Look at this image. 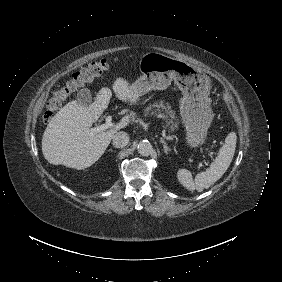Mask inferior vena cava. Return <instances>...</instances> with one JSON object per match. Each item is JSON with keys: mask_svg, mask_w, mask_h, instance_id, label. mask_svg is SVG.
<instances>
[{"mask_svg": "<svg viewBox=\"0 0 282 282\" xmlns=\"http://www.w3.org/2000/svg\"><path fill=\"white\" fill-rule=\"evenodd\" d=\"M129 142V134L124 131L115 133L113 143L117 148L125 147Z\"/></svg>", "mask_w": 282, "mask_h": 282, "instance_id": "obj_1", "label": "inferior vena cava"}]
</instances>
